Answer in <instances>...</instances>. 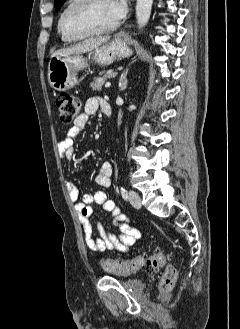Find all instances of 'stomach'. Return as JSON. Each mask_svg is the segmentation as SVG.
<instances>
[{"label": "stomach", "mask_w": 240, "mask_h": 329, "mask_svg": "<svg viewBox=\"0 0 240 329\" xmlns=\"http://www.w3.org/2000/svg\"><path fill=\"white\" fill-rule=\"evenodd\" d=\"M92 58L100 65H109L118 57H129L132 50L126 41L117 37L109 43L97 47L92 53ZM86 58L80 53L67 56L51 57L48 64V80L50 86L56 91H66L75 87L79 80L78 71L87 67Z\"/></svg>", "instance_id": "1"}]
</instances>
